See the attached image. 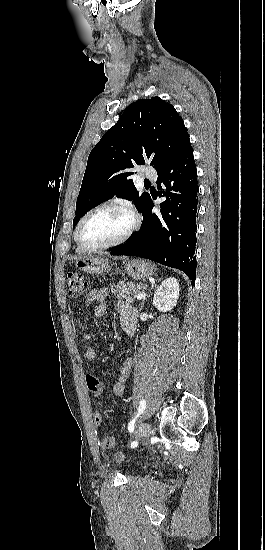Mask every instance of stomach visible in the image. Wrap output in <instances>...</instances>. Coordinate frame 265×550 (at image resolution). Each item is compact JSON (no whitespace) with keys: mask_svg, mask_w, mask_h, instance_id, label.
Masks as SVG:
<instances>
[{"mask_svg":"<svg viewBox=\"0 0 265 550\" xmlns=\"http://www.w3.org/2000/svg\"><path fill=\"white\" fill-rule=\"evenodd\" d=\"M75 267L83 272L95 275L103 274L110 269L109 260L99 254L76 260ZM124 267L127 274L135 280H145L155 272V268L151 263L141 259L125 261Z\"/></svg>","mask_w":265,"mask_h":550,"instance_id":"1","label":"stomach"}]
</instances>
